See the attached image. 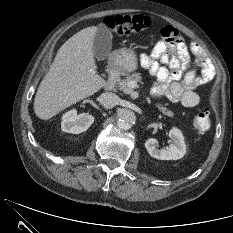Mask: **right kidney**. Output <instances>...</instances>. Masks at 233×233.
Here are the masks:
<instances>
[{"label": "right kidney", "mask_w": 233, "mask_h": 233, "mask_svg": "<svg viewBox=\"0 0 233 233\" xmlns=\"http://www.w3.org/2000/svg\"><path fill=\"white\" fill-rule=\"evenodd\" d=\"M94 122V117L88 113L77 114L72 109L62 116L61 129L67 133L79 134L86 131Z\"/></svg>", "instance_id": "right-kidney-1"}]
</instances>
